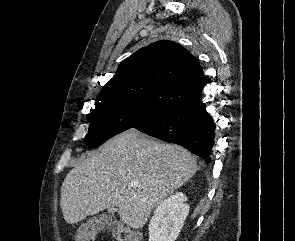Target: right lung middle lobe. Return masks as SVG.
Segmentation results:
<instances>
[{"label": "right lung middle lobe", "mask_w": 295, "mask_h": 241, "mask_svg": "<svg viewBox=\"0 0 295 241\" xmlns=\"http://www.w3.org/2000/svg\"><path fill=\"white\" fill-rule=\"evenodd\" d=\"M163 112L124 98L99 96L95 108L87 114L90 128L85 141L90 147H98L116 134L149 123Z\"/></svg>", "instance_id": "dd1d6c3e"}]
</instances>
